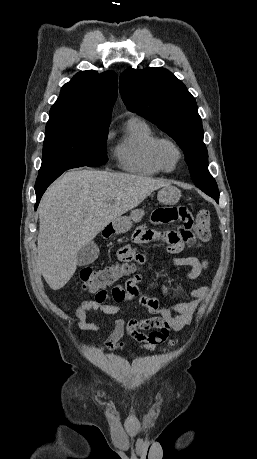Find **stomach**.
Returning <instances> with one entry per match:
<instances>
[{"mask_svg": "<svg viewBox=\"0 0 257 459\" xmlns=\"http://www.w3.org/2000/svg\"><path fill=\"white\" fill-rule=\"evenodd\" d=\"M181 196L180 190L172 185L161 188L158 192V201L165 205L175 204ZM144 216L143 209H134L131 211L130 216H120L113 220L111 227L113 233L123 234L129 231L133 225V222L141 221Z\"/></svg>", "mask_w": 257, "mask_h": 459, "instance_id": "0dacf381", "label": "stomach"}]
</instances>
